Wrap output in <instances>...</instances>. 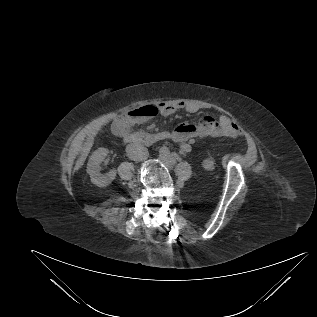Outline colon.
Listing matches in <instances>:
<instances>
[{
  "mask_svg": "<svg viewBox=\"0 0 317 317\" xmlns=\"http://www.w3.org/2000/svg\"><path fill=\"white\" fill-rule=\"evenodd\" d=\"M159 111L158 105L147 104L131 109L128 112V115L134 120H143L156 117L159 114Z\"/></svg>",
  "mask_w": 317,
  "mask_h": 317,
  "instance_id": "5ec220e1",
  "label": "colon"
}]
</instances>
